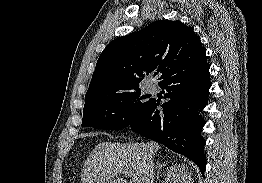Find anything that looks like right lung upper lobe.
I'll list each match as a JSON object with an SVG mask.
<instances>
[{"instance_id": "obj_1", "label": "right lung upper lobe", "mask_w": 262, "mask_h": 183, "mask_svg": "<svg viewBox=\"0 0 262 183\" xmlns=\"http://www.w3.org/2000/svg\"><path fill=\"white\" fill-rule=\"evenodd\" d=\"M206 51L191 27L158 20L141 31L118 37L101 53L85 103L138 88L153 70L163 80L202 66Z\"/></svg>"}]
</instances>
